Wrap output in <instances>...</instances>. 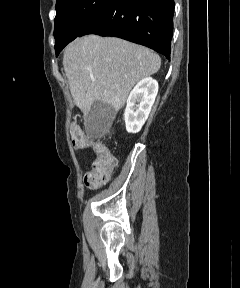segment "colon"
I'll use <instances>...</instances> for the list:
<instances>
[{"instance_id": "1", "label": "colon", "mask_w": 240, "mask_h": 288, "mask_svg": "<svg viewBox=\"0 0 240 288\" xmlns=\"http://www.w3.org/2000/svg\"><path fill=\"white\" fill-rule=\"evenodd\" d=\"M70 134L73 146L76 148H85L91 146L96 153V158L85 175V185L90 189H97L104 185L110 178L116 165V159L109 149L102 143H89L81 128L72 124Z\"/></svg>"}]
</instances>
